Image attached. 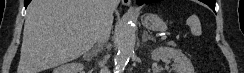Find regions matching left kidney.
<instances>
[{
  "mask_svg": "<svg viewBox=\"0 0 244 73\" xmlns=\"http://www.w3.org/2000/svg\"><path fill=\"white\" fill-rule=\"evenodd\" d=\"M151 58L154 61L172 59L175 73H194L191 61L178 49L158 47L152 51Z\"/></svg>",
  "mask_w": 244,
  "mask_h": 73,
  "instance_id": "obj_1",
  "label": "left kidney"
}]
</instances>
